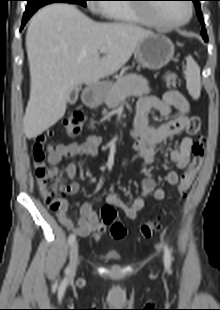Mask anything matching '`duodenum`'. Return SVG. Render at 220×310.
Returning <instances> with one entry per match:
<instances>
[{"label":"duodenum","instance_id":"obj_1","mask_svg":"<svg viewBox=\"0 0 220 310\" xmlns=\"http://www.w3.org/2000/svg\"><path fill=\"white\" fill-rule=\"evenodd\" d=\"M102 83H98L96 85V90L94 92H88L85 95V100L88 104H94L96 102V94L99 92V90L102 88Z\"/></svg>","mask_w":220,"mask_h":310}]
</instances>
